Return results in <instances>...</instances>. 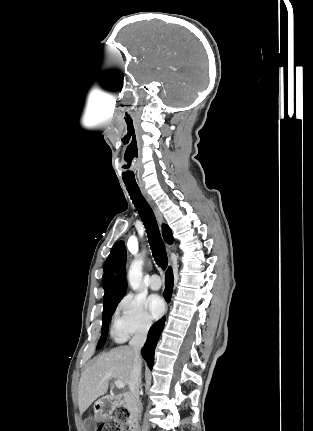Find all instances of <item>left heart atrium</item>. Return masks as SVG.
Here are the masks:
<instances>
[{
  "label": "left heart atrium",
  "instance_id": "obj_1",
  "mask_svg": "<svg viewBox=\"0 0 313 431\" xmlns=\"http://www.w3.org/2000/svg\"><path fill=\"white\" fill-rule=\"evenodd\" d=\"M148 308L154 318H159L165 310L164 300L158 295H153L148 299Z\"/></svg>",
  "mask_w": 313,
  "mask_h": 431
}]
</instances>
